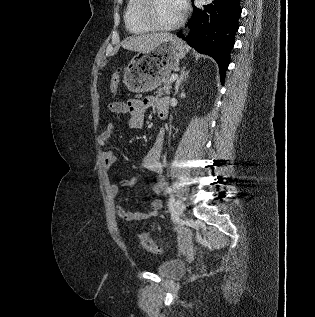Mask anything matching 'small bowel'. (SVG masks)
I'll use <instances>...</instances> for the list:
<instances>
[{
	"mask_svg": "<svg viewBox=\"0 0 315 317\" xmlns=\"http://www.w3.org/2000/svg\"><path fill=\"white\" fill-rule=\"evenodd\" d=\"M153 108L156 110L158 116L163 119L166 117L168 112V99L167 98H159L154 96H148L144 99H130L126 102H114L110 104L109 111L112 115H127L128 116V125L133 129H140L144 125L145 120V112L147 109ZM116 130V125L113 122H110L106 129L100 134L99 142L102 145H108L109 140L113 133ZM164 134L163 131H160L148 151L145 161L144 167L157 175L156 181L153 183L151 187V192L154 196H158L163 187L164 182L162 179L163 173V164L160 160L161 151L163 147ZM116 161L115 154L112 150L106 149L103 152V163L106 171L111 174L113 171V167ZM136 184V179L133 176H127L123 180L119 182V184H112L110 186V195L115 198L118 194L120 187H133ZM162 207V203L159 199L155 198L151 202V208L148 211L144 212H134L121 204H117L115 206L116 214L127 220V221H142L154 218L158 215L159 210Z\"/></svg>",
	"mask_w": 315,
	"mask_h": 317,
	"instance_id": "small-bowel-1",
	"label": "small bowel"
}]
</instances>
